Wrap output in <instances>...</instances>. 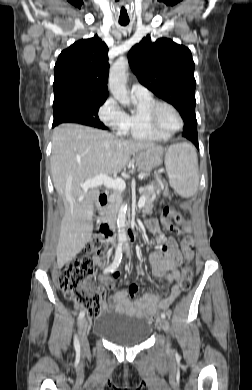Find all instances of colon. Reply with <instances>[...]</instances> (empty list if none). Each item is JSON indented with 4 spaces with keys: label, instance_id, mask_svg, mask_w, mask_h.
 <instances>
[{
    "label": "colon",
    "instance_id": "colon-1",
    "mask_svg": "<svg viewBox=\"0 0 252 390\" xmlns=\"http://www.w3.org/2000/svg\"><path fill=\"white\" fill-rule=\"evenodd\" d=\"M162 221L166 229L174 234H180L181 230L174 225L183 227V231L189 230V223L181 214L171 208L164 209ZM107 237L104 233L95 234L85 245L81 254L62 267L59 275V286L65 296L73 301L89 318H96L101 313L104 294L101 290L91 286L94 274L95 259L100 257L106 249ZM194 241L190 235H185L181 241V249L186 260L191 261ZM193 269L185 266L182 269V277L179 284V294L187 291L193 279Z\"/></svg>",
    "mask_w": 252,
    "mask_h": 390
}]
</instances>
